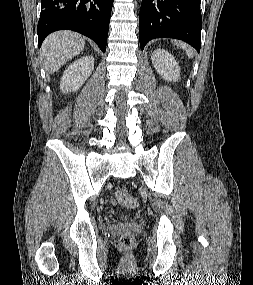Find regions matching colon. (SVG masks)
I'll use <instances>...</instances> for the list:
<instances>
[{
  "instance_id": "colon-1",
  "label": "colon",
  "mask_w": 253,
  "mask_h": 285,
  "mask_svg": "<svg viewBox=\"0 0 253 285\" xmlns=\"http://www.w3.org/2000/svg\"><path fill=\"white\" fill-rule=\"evenodd\" d=\"M116 199L117 201L130 208H135L138 206V200L130 195L126 190L124 189H119L116 192ZM135 242V237L132 233L126 232L124 233L121 238H120V245L123 248H129L131 247Z\"/></svg>"
}]
</instances>
